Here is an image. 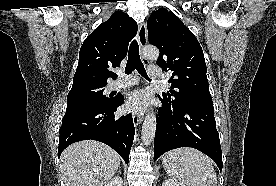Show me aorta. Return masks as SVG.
<instances>
[{
	"label": "aorta",
	"mask_w": 276,
	"mask_h": 186,
	"mask_svg": "<svg viewBox=\"0 0 276 186\" xmlns=\"http://www.w3.org/2000/svg\"><path fill=\"white\" fill-rule=\"evenodd\" d=\"M143 56L152 61H156L159 57V50L156 47L149 46L145 47L142 51ZM156 116L153 112H149L144 119L141 131L142 143L144 145H149L155 136L156 131Z\"/></svg>",
	"instance_id": "obj_1"
}]
</instances>
